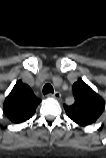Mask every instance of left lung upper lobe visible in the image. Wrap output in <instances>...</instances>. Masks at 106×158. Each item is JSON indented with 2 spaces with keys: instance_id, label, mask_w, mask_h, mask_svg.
Returning <instances> with one entry per match:
<instances>
[{
  "instance_id": "5c2ea615",
  "label": "left lung upper lobe",
  "mask_w": 106,
  "mask_h": 158,
  "mask_svg": "<svg viewBox=\"0 0 106 158\" xmlns=\"http://www.w3.org/2000/svg\"><path fill=\"white\" fill-rule=\"evenodd\" d=\"M75 102L64 105L68 117L80 126L94 123L105 110V101L94 92L82 79L73 84Z\"/></svg>"
}]
</instances>
